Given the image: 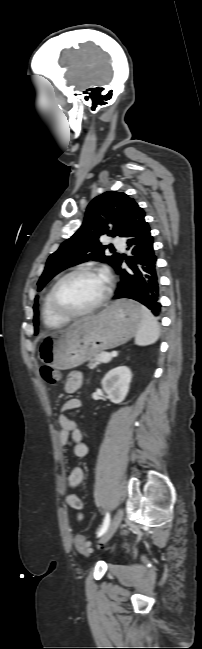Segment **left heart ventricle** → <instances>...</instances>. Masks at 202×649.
<instances>
[{
	"label": "left heart ventricle",
	"instance_id": "obj_1",
	"mask_svg": "<svg viewBox=\"0 0 202 649\" xmlns=\"http://www.w3.org/2000/svg\"><path fill=\"white\" fill-rule=\"evenodd\" d=\"M106 288L100 273L77 274L66 279L58 290L60 301L71 310H84L95 304Z\"/></svg>",
	"mask_w": 202,
	"mask_h": 649
}]
</instances>
